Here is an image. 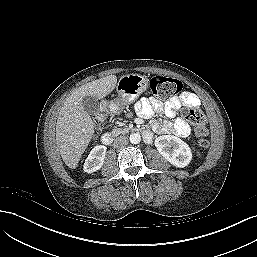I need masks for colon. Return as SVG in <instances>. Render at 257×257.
I'll list each match as a JSON object with an SVG mask.
<instances>
[{
    "label": "colon",
    "mask_w": 257,
    "mask_h": 257,
    "mask_svg": "<svg viewBox=\"0 0 257 257\" xmlns=\"http://www.w3.org/2000/svg\"><path fill=\"white\" fill-rule=\"evenodd\" d=\"M149 85L152 93L161 100H165L177 94L181 89L180 81L161 75L153 76L150 79ZM107 112V104L103 103L99 109L98 121H103L107 116ZM183 115L195 128L197 140L194 151L197 155H200L208 146V141L206 139L208 134L206 116L199 108H186L183 111Z\"/></svg>",
    "instance_id": "1"
}]
</instances>
